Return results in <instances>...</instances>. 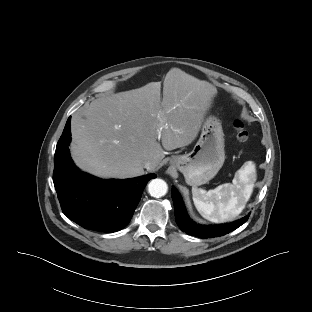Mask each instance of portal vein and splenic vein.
Here are the masks:
<instances>
[{
	"label": "portal vein and splenic vein",
	"instance_id": "18ae733b",
	"mask_svg": "<svg viewBox=\"0 0 312 312\" xmlns=\"http://www.w3.org/2000/svg\"><path fill=\"white\" fill-rule=\"evenodd\" d=\"M161 114H162V113H159V114H158V117H160V116H161ZM161 129H162V128H160V130H161Z\"/></svg>",
	"mask_w": 312,
	"mask_h": 312
}]
</instances>
